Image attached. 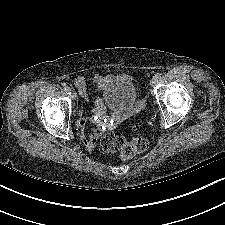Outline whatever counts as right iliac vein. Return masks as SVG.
<instances>
[{
	"label": "right iliac vein",
	"mask_w": 225,
	"mask_h": 225,
	"mask_svg": "<svg viewBox=\"0 0 225 225\" xmlns=\"http://www.w3.org/2000/svg\"><path fill=\"white\" fill-rule=\"evenodd\" d=\"M70 96H71V98L73 99V100H75L76 98H77V94H76V92H74V91H70Z\"/></svg>",
	"instance_id": "1"
}]
</instances>
